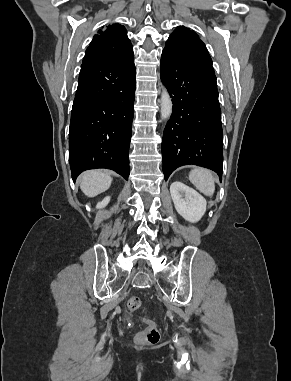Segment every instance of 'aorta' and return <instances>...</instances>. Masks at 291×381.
Wrapping results in <instances>:
<instances>
[{
  "instance_id": "1",
  "label": "aorta",
  "mask_w": 291,
  "mask_h": 381,
  "mask_svg": "<svg viewBox=\"0 0 291 381\" xmlns=\"http://www.w3.org/2000/svg\"><path fill=\"white\" fill-rule=\"evenodd\" d=\"M172 100L168 91L163 88L161 93V119L168 120L172 114Z\"/></svg>"
}]
</instances>
